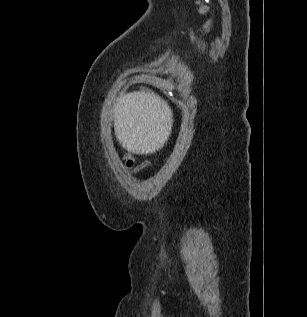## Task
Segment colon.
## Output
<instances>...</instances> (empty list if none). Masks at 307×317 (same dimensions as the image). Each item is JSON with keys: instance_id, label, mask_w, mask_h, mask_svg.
Returning a JSON list of instances; mask_svg holds the SVG:
<instances>
[{"instance_id": "obj_1", "label": "colon", "mask_w": 307, "mask_h": 317, "mask_svg": "<svg viewBox=\"0 0 307 317\" xmlns=\"http://www.w3.org/2000/svg\"><path fill=\"white\" fill-rule=\"evenodd\" d=\"M125 163H126V167L129 169L134 168L135 166V158L132 156H126L125 158ZM151 164L149 162L142 164L140 167H138V169H143V168H147L150 167Z\"/></svg>"}]
</instances>
